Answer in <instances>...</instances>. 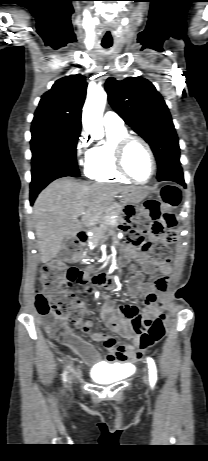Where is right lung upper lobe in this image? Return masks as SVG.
Returning <instances> with one entry per match:
<instances>
[{
  "mask_svg": "<svg viewBox=\"0 0 208 461\" xmlns=\"http://www.w3.org/2000/svg\"><path fill=\"white\" fill-rule=\"evenodd\" d=\"M86 89L85 77L80 74L57 80L42 96L34 119H51L81 129V109Z\"/></svg>",
  "mask_w": 208,
  "mask_h": 461,
  "instance_id": "cb5924a9",
  "label": "right lung upper lobe"
}]
</instances>
